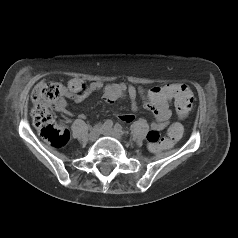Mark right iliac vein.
Here are the masks:
<instances>
[{
    "mask_svg": "<svg viewBox=\"0 0 238 238\" xmlns=\"http://www.w3.org/2000/svg\"><path fill=\"white\" fill-rule=\"evenodd\" d=\"M101 132H102L101 125L94 126V128L91 130V132L88 135L89 141H95L100 136Z\"/></svg>",
    "mask_w": 238,
    "mask_h": 238,
    "instance_id": "right-iliac-vein-1",
    "label": "right iliac vein"
}]
</instances>
